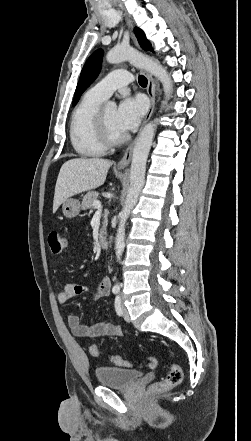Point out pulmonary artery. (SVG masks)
I'll return each instance as SVG.
<instances>
[{"label": "pulmonary artery", "mask_w": 251, "mask_h": 441, "mask_svg": "<svg viewBox=\"0 0 251 441\" xmlns=\"http://www.w3.org/2000/svg\"><path fill=\"white\" fill-rule=\"evenodd\" d=\"M132 81L133 76L128 71L115 70L97 82L91 90L106 99L110 97L115 90L126 87Z\"/></svg>", "instance_id": "pulmonary-artery-1"}]
</instances>
